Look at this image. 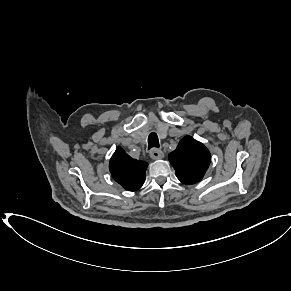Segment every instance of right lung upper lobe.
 Returning a JSON list of instances; mask_svg holds the SVG:
<instances>
[{"mask_svg":"<svg viewBox=\"0 0 291 291\" xmlns=\"http://www.w3.org/2000/svg\"><path fill=\"white\" fill-rule=\"evenodd\" d=\"M147 166V162L132 159L121 147L116 149L109 163L113 179L128 191L141 188Z\"/></svg>","mask_w":291,"mask_h":291,"instance_id":"cb5924a9","label":"right lung upper lobe"}]
</instances>
